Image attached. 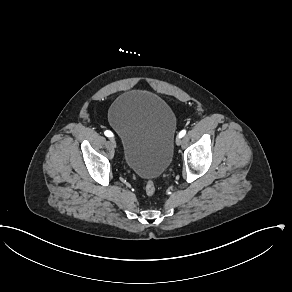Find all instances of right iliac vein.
<instances>
[{
    "label": "right iliac vein",
    "instance_id": "right-iliac-vein-1",
    "mask_svg": "<svg viewBox=\"0 0 292 292\" xmlns=\"http://www.w3.org/2000/svg\"><path fill=\"white\" fill-rule=\"evenodd\" d=\"M110 144L112 147H114V148L116 147V142L113 138L110 139Z\"/></svg>",
    "mask_w": 292,
    "mask_h": 292
}]
</instances>
